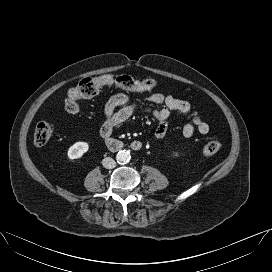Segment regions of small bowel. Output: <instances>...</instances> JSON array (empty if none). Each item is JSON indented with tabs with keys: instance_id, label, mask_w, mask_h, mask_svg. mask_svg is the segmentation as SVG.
<instances>
[{
	"instance_id": "1",
	"label": "small bowel",
	"mask_w": 272,
	"mask_h": 272,
	"mask_svg": "<svg viewBox=\"0 0 272 272\" xmlns=\"http://www.w3.org/2000/svg\"><path fill=\"white\" fill-rule=\"evenodd\" d=\"M148 100L152 103L161 105V108L153 109L147 106L139 105L131 100L125 94H117L111 97L105 104V121L101 126L100 135L107 138L112 135L115 127L131 118L135 113L145 111L150 113L157 121L155 136L163 138L167 131L169 122L172 118V111H177L181 115H190L182 128L185 138H191L198 132L206 135L209 132V125L203 120L192 105L185 100L174 96L164 95L162 93H152Z\"/></svg>"
}]
</instances>
